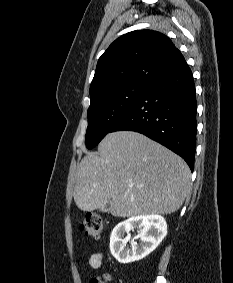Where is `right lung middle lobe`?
<instances>
[{
	"label": "right lung middle lobe",
	"instance_id": "dd1d6c3e",
	"mask_svg": "<svg viewBox=\"0 0 233 283\" xmlns=\"http://www.w3.org/2000/svg\"><path fill=\"white\" fill-rule=\"evenodd\" d=\"M149 83L132 82L99 94L88 108L86 146L95 147L145 91Z\"/></svg>",
	"mask_w": 233,
	"mask_h": 283
}]
</instances>
